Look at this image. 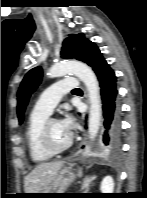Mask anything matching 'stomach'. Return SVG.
Instances as JSON below:
<instances>
[{"label": "stomach", "mask_w": 147, "mask_h": 198, "mask_svg": "<svg viewBox=\"0 0 147 198\" xmlns=\"http://www.w3.org/2000/svg\"><path fill=\"white\" fill-rule=\"evenodd\" d=\"M76 175L70 167H64L58 173L56 179L45 189L36 194L35 198H50L57 197L59 194L54 193H65L64 191L71 185L75 180Z\"/></svg>", "instance_id": "0dacf381"}]
</instances>
